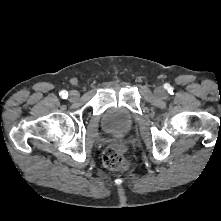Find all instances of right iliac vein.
<instances>
[{"mask_svg":"<svg viewBox=\"0 0 221 221\" xmlns=\"http://www.w3.org/2000/svg\"><path fill=\"white\" fill-rule=\"evenodd\" d=\"M78 97H79V92L78 91H76V90L70 91V93H69V100L75 101V100L78 99Z\"/></svg>","mask_w":221,"mask_h":221,"instance_id":"obj_1","label":"right iliac vein"}]
</instances>
